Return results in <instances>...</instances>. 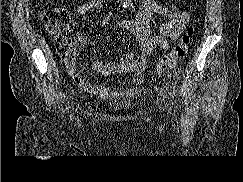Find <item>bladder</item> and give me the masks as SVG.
<instances>
[{"mask_svg": "<svg viewBox=\"0 0 243 182\" xmlns=\"http://www.w3.org/2000/svg\"><path fill=\"white\" fill-rule=\"evenodd\" d=\"M131 107H132V102L130 100H123L112 104L110 106V109L113 111H127Z\"/></svg>", "mask_w": 243, "mask_h": 182, "instance_id": "1", "label": "bladder"}]
</instances>
